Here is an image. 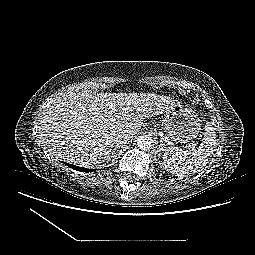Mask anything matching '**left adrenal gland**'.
Wrapping results in <instances>:
<instances>
[{"mask_svg": "<svg viewBox=\"0 0 255 255\" xmlns=\"http://www.w3.org/2000/svg\"><path fill=\"white\" fill-rule=\"evenodd\" d=\"M160 142H161V143H160L159 150L157 151V153H159L160 150H163V147H164V145H165V144L163 143L162 140H160ZM160 155H161V154H158V156H160Z\"/></svg>", "mask_w": 255, "mask_h": 255, "instance_id": "1", "label": "left adrenal gland"}]
</instances>
